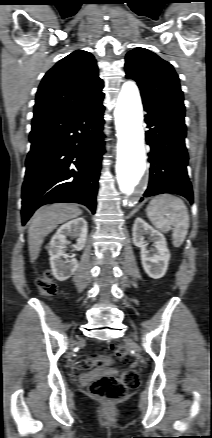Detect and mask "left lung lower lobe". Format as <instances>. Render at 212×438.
Here are the masks:
<instances>
[{"instance_id": "0a47b994", "label": "left lung lower lobe", "mask_w": 212, "mask_h": 438, "mask_svg": "<svg viewBox=\"0 0 212 438\" xmlns=\"http://www.w3.org/2000/svg\"><path fill=\"white\" fill-rule=\"evenodd\" d=\"M145 122L149 130L150 181L145 197L174 193L193 203L192 186L187 174L188 154L185 147V112L143 100ZM142 200V199H141Z\"/></svg>"}]
</instances>
